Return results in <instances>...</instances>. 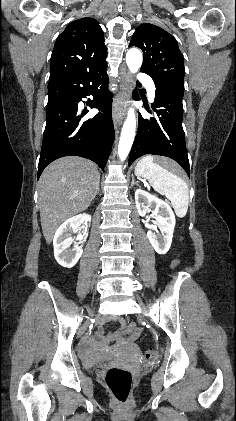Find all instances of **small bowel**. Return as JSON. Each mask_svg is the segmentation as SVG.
Returning a JSON list of instances; mask_svg holds the SVG:
<instances>
[{"label":"small bowel","mask_w":236,"mask_h":421,"mask_svg":"<svg viewBox=\"0 0 236 421\" xmlns=\"http://www.w3.org/2000/svg\"><path fill=\"white\" fill-rule=\"evenodd\" d=\"M129 328L133 333L139 334L140 332V330L134 324H131Z\"/></svg>","instance_id":"c3829d8e"}]
</instances>
